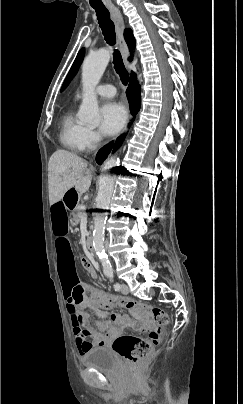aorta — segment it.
Here are the masks:
<instances>
[{"label":"aorta","mask_w":243,"mask_h":404,"mask_svg":"<svg viewBox=\"0 0 243 404\" xmlns=\"http://www.w3.org/2000/svg\"><path fill=\"white\" fill-rule=\"evenodd\" d=\"M111 54V50L100 48L97 52H91L83 62L82 82L84 94L78 118L80 122H85L87 126H92V128H96L101 122L94 88L99 84L110 62ZM118 166L117 160L111 158L101 167L99 192L94 212L93 246L99 260L102 262L104 272L106 270L112 272L111 264L104 252V236L105 219L108 218L109 204L114 190V183L116 182L115 174Z\"/></svg>","instance_id":"obj_1"}]
</instances>
